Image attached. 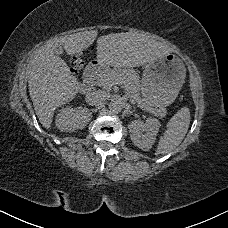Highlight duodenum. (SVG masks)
<instances>
[{
  "label": "duodenum",
  "mask_w": 228,
  "mask_h": 228,
  "mask_svg": "<svg viewBox=\"0 0 228 228\" xmlns=\"http://www.w3.org/2000/svg\"><path fill=\"white\" fill-rule=\"evenodd\" d=\"M99 73V66L96 63L89 64L86 72L82 74L81 81L84 84L93 83L96 80V76Z\"/></svg>",
  "instance_id": "410a0bca"
}]
</instances>
